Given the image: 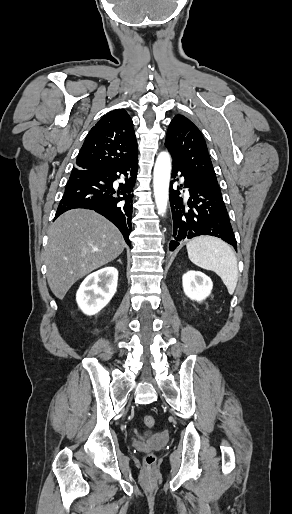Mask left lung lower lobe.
<instances>
[{"label": "left lung lower lobe", "instance_id": "1", "mask_svg": "<svg viewBox=\"0 0 292 514\" xmlns=\"http://www.w3.org/2000/svg\"><path fill=\"white\" fill-rule=\"evenodd\" d=\"M185 178L184 188H188L189 199L183 198L179 191L170 185V205L173 218V235L169 249L173 251L179 241L200 235L221 238L237 249V242L230 224L220 188L201 183L188 175L185 170L173 161L172 178ZM173 181H176L174 179ZM178 181V178H177Z\"/></svg>", "mask_w": 292, "mask_h": 514}]
</instances>
